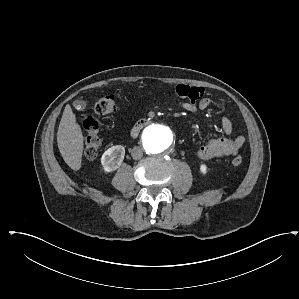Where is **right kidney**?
<instances>
[{
    "instance_id": "right-kidney-1",
    "label": "right kidney",
    "mask_w": 299,
    "mask_h": 299,
    "mask_svg": "<svg viewBox=\"0 0 299 299\" xmlns=\"http://www.w3.org/2000/svg\"><path fill=\"white\" fill-rule=\"evenodd\" d=\"M125 155V148L115 145L107 149L102 157L101 164L106 173L113 172L121 165Z\"/></svg>"
}]
</instances>
